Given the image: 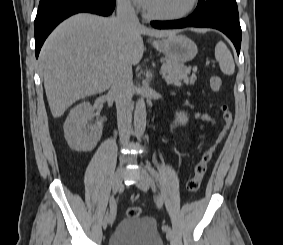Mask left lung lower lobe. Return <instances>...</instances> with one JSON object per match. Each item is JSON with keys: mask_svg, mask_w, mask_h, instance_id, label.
I'll list each match as a JSON object with an SVG mask.
<instances>
[{"mask_svg": "<svg viewBox=\"0 0 283 245\" xmlns=\"http://www.w3.org/2000/svg\"><path fill=\"white\" fill-rule=\"evenodd\" d=\"M152 26L158 29L184 28V27H208L215 28L226 34L233 42L239 55L242 31L239 22L214 16H195L174 21H153Z\"/></svg>", "mask_w": 283, "mask_h": 245, "instance_id": "obj_1", "label": "left lung lower lobe"}]
</instances>
